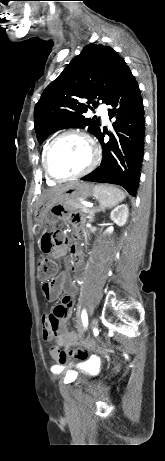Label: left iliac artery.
I'll list each match as a JSON object with an SVG mask.
<instances>
[{"mask_svg":"<svg viewBox=\"0 0 165 461\" xmlns=\"http://www.w3.org/2000/svg\"><path fill=\"white\" fill-rule=\"evenodd\" d=\"M81 317H82V321H83L84 325L87 326L88 317H87V313H86L85 310L82 311Z\"/></svg>","mask_w":165,"mask_h":461,"instance_id":"1","label":"left iliac artery"}]
</instances>
